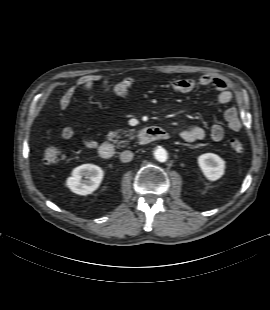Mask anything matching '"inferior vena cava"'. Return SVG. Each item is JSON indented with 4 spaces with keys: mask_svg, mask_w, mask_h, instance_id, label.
I'll return each instance as SVG.
<instances>
[{
    "mask_svg": "<svg viewBox=\"0 0 270 310\" xmlns=\"http://www.w3.org/2000/svg\"><path fill=\"white\" fill-rule=\"evenodd\" d=\"M134 154L131 151H124L120 155V160L124 163L130 162L133 159Z\"/></svg>",
    "mask_w": 270,
    "mask_h": 310,
    "instance_id": "inferior-vena-cava-1",
    "label": "inferior vena cava"
}]
</instances>
